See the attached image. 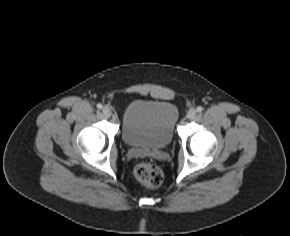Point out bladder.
<instances>
[{"instance_id": "1", "label": "bladder", "mask_w": 290, "mask_h": 236, "mask_svg": "<svg viewBox=\"0 0 290 236\" xmlns=\"http://www.w3.org/2000/svg\"><path fill=\"white\" fill-rule=\"evenodd\" d=\"M175 106L165 101L138 100L127 105L122 123L123 141L130 147L163 149L174 136Z\"/></svg>"}]
</instances>
